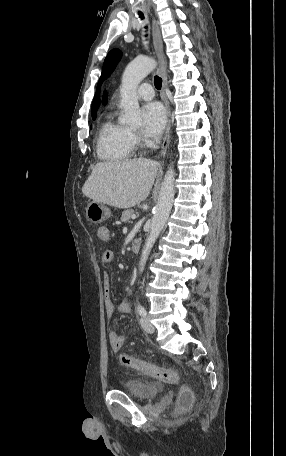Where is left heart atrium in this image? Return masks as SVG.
<instances>
[{"label":"left heart atrium","instance_id":"1","mask_svg":"<svg viewBox=\"0 0 286 456\" xmlns=\"http://www.w3.org/2000/svg\"><path fill=\"white\" fill-rule=\"evenodd\" d=\"M144 133L151 138L158 137L166 124V112L158 102H150L142 109Z\"/></svg>","mask_w":286,"mask_h":456}]
</instances>
